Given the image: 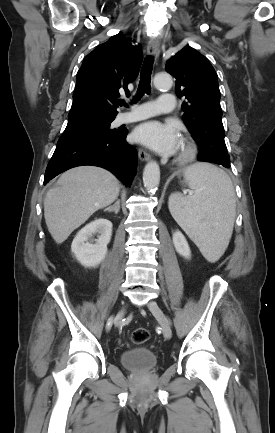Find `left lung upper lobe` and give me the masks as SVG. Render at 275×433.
<instances>
[{
    "mask_svg": "<svg viewBox=\"0 0 275 433\" xmlns=\"http://www.w3.org/2000/svg\"><path fill=\"white\" fill-rule=\"evenodd\" d=\"M166 70L176 78L178 97L187 100L183 120L200 151L199 161L229 164L217 74L208 59L185 47L167 62Z\"/></svg>",
    "mask_w": 275,
    "mask_h": 433,
    "instance_id": "1",
    "label": "left lung upper lobe"
}]
</instances>
